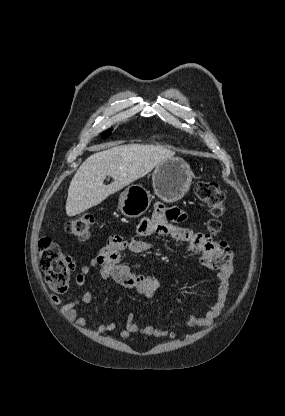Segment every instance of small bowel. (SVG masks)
<instances>
[{"label":"small bowel","instance_id":"obj_1","mask_svg":"<svg viewBox=\"0 0 285 416\" xmlns=\"http://www.w3.org/2000/svg\"><path fill=\"white\" fill-rule=\"evenodd\" d=\"M186 219V214L177 208H167L161 203L155 205L153 214L144 218L138 225V234L142 237L160 235L169 237L178 242H187V254H200L202 264L213 270H217L219 280L217 292L213 304L202 316L190 315L186 324L189 327L210 326L223 312L226 300L230 292V282L233 274V253L228 243L223 239L213 240L208 234L195 232L194 230L181 226ZM152 248V244L136 239H124L120 236H112L106 245L99 251L89 264L83 265L76 276V284L82 286L93 268H98L103 280H113L118 285L135 290L146 298H151L159 288V279L152 274L135 273L124 262L123 253H144ZM93 300V293L86 291L78 299L72 302H64L59 297L52 295L51 301L60 306V312L64 318L78 328L86 325L87 319L79 314L78 306L89 304ZM115 322L100 323L96 331L105 334L115 331ZM133 334H144L155 337L169 335V331L161 330L154 326L143 327L134 321L133 315L129 314L124 327L120 330L123 339Z\"/></svg>","mask_w":285,"mask_h":416}]
</instances>
